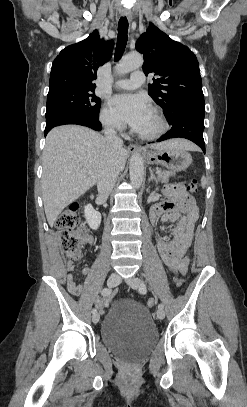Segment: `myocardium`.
<instances>
[{
  "label": "myocardium",
  "instance_id": "obj_1",
  "mask_svg": "<svg viewBox=\"0 0 247 407\" xmlns=\"http://www.w3.org/2000/svg\"><path fill=\"white\" fill-rule=\"evenodd\" d=\"M150 112L158 120L159 125H160L159 129L156 132L152 133V134H143V133H140V132L136 131L135 129L133 130L134 134L138 138H140L142 140H145V141H153V140L159 139L160 137H162L168 131V128H169V125H168V122H167L166 118L164 117V115L162 114V112L159 109L151 108Z\"/></svg>",
  "mask_w": 247,
  "mask_h": 407
}]
</instances>
